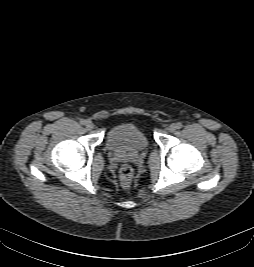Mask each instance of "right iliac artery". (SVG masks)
I'll use <instances>...</instances> for the list:
<instances>
[{
	"instance_id": "1",
	"label": "right iliac artery",
	"mask_w": 254,
	"mask_h": 267,
	"mask_svg": "<svg viewBox=\"0 0 254 267\" xmlns=\"http://www.w3.org/2000/svg\"><path fill=\"white\" fill-rule=\"evenodd\" d=\"M85 122H86V121H85L84 119H81V120H80V124H82V125H84Z\"/></svg>"
}]
</instances>
